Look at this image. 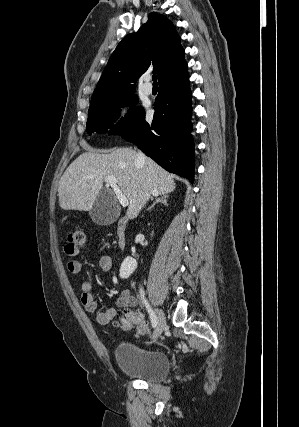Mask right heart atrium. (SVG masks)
<instances>
[{"label": "right heart atrium", "instance_id": "right-heart-atrium-1", "mask_svg": "<svg viewBox=\"0 0 299 427\" xmlns=\"http://www.w3.org/2000/svg\"><path fill=\"white\" fill-rule=\"evenodd\" d=\"M131 107L128 102H121L114 111L113 123L117 128L124 126L130 117Z\"/></svg>", "mask_w": 299, "mask_h": 427}]
</instances>
